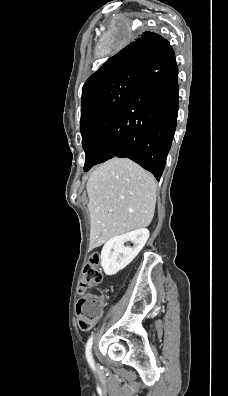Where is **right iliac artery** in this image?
Segmentation results:
<instances>
[{
  "mask_svg": "<svg viewBox=\"0 0 228 396\" xmlns=\"http://www.w3.org/2000/svg\"><path fill=\"white\" fill-rule=\"evenodd\" d=\"M92 343H93V336L89 338L86 344V358L91 368L95 369L94 360L92 357Z\"/></svg>",
  "mask_w": 228,
  "mask_h": 396,
  "instance_id": "right-iliac-artery-1",
  "label": "right iliac artery"
}]
</instances>
